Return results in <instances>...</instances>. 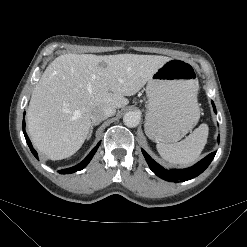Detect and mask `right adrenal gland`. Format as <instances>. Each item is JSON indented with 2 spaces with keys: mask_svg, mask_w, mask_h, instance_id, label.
<instances>
[{
  "mask_svg": "<svg viewBox=\"0 0 247 247\" xmlns=\"http://www.w3.org/2000/svg\"><path fill=\"white\" fill-rule=\"evenodd\" d=\"M98 124L99 123H92L91 128H90V132H89V135H88V138L87 139H89L91 137L92 132H93V127L96 126V125H98Z\"/></svg>",
  "mask_w": 247,
  "mask_h": 247,
  "instance_id": "right-adrenal-gland-1",
  "label": "right adrenal gland"
}]
</instances>
